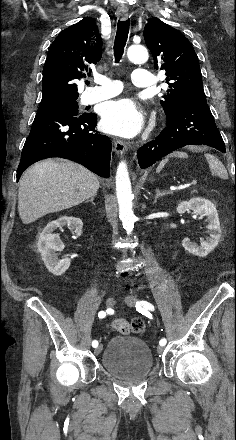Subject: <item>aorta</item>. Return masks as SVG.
<instances>
[{
  "mask_svg": "<svg viewBox=\"0 0 236 440\" xmlns=\"http://www.w3.org/2000/svg\"><path fill=\"white\" fill-rule=\"evenodd\" d=\"M128 59L135 64H142L148 60V51L142 45H131L127 50ZM116 194L119 205V218L128 234L133 231L135 215L132 210V188L125 161H121L116 172Z\"/></svg>",
  "mask_w": 236,
  "mask_h": 440,
  "instance_id": "762f6f07",
  "label": "aorta"
}]
</instances>
